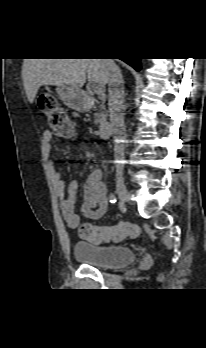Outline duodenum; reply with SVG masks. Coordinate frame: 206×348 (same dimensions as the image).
<instances>
[{"label":"duodenum","instance_id":"obj_1","mask_svg":"<svg viewBox=\"0 0 206 348\" xmlns=\"http://www.w3.org/2000/svg\"><path fill=\"white\" fill-rule=\"evenodd\" d=\"M93 101H89V105H91ZM113 133V125L108 121H103L100 126L99 135L103 138L110 137Z\"/></svg>","mask_w":206,"mask_h":348}]
</instances>
